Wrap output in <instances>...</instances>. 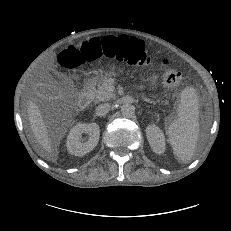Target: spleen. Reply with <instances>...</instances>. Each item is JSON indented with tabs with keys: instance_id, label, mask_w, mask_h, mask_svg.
Segmentation results:
<instances>
[{
	"instance_id": "spleen-1",
	"label": "spleen",
	"mask_w": 231,
	"mask_h": 231,
	"mask_svg": "<svg viewBox=\"0 0 231 231\" xmlns=\"http://www.w3.org/2000/svg\"><path fill=\"white\" fill-rule=\"evenodd\" d=\"M198 98L195 89L185 88L181 93L178 118L166 128L168 142L175 157L185 163L195 153L199 136Z\"/></svg>"
}]
</instances>
